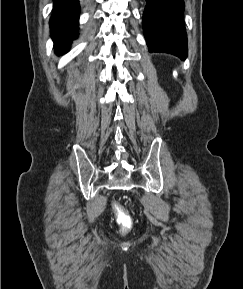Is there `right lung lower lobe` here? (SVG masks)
Listing matches in <instances>:
<instances>
[{"mask_svg":"<svg viewBox=\"0 0 243 289\" xmlns=\"http://www.w3.org/2000/svg\"><path fill=\"white\" fill-rule=\"evenodd\" d=\"M79 12L78 0H54L50 33L58 55L66 53L71 40L77 37Z\"/></svg>","mask_w":243,"mask_h":289,"instance_id":"98d812e1","label":"right lung lower lobe"}]
</instances>
